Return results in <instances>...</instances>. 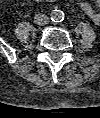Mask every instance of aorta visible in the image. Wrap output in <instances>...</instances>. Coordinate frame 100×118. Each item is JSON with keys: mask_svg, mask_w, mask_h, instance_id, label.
Wrapping results in <instances>:
<instances>
[{"mask_svg": "<svg viewBox=\"0 0 100 118\" xmlns=\"http://www.w3.org/2000/svg\"><path fill=\"white\" fill-rule=\"evenodd\" d=\"M51 20L54 22H61L64 20V12L58 9H55L50 14Z\"/></svg>", "mask_w": 100, "mask_h": 118, "instance_id": "aorta-1", "label": "aorta"}]
</instances>
